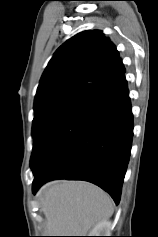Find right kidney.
<instances>
[{
  "label": "right kidney",
  "instance_id": "right-kidney-1",
  "mask_svg": "<svg viewBox=\"0 0 158 237\" xmlns=\"http://www.w3.org/2000/svg\"><path fill=\"white\" fill-rule=\"evenodd\" d=\"M111 226L110 221H102L92 229L88 236H110Z\"/></svg>",
  "mask_w": 158,
  "mask_h": 237
}]
</instances>
